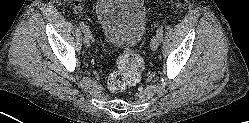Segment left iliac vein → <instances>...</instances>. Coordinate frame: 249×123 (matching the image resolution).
Instances as JSON below:
<instances>
[{"label": "left iliac vein", "mask_w": 249, "mask_h": 123, "mask_svg": "<svg viewBox=\"0 0 249 123\" xmlns=\"http://www.w3.org/2000/svg\"><path fill=\"white\" fill-rule=\"evenodd\" d=\"M160 42H161V38H160L159 35L156 34V35L152 38V40H151V44H150L151 49H152L153 51H156V50L158 49L159 45H160Z\"/></svg>", "instance_id": "4c4485c4"}]
</instances>
